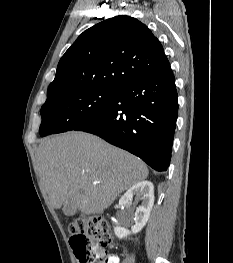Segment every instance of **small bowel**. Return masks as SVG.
Returning a JSON list of instances; mask_svg holds the SVG:
<instances>
[{"mask_svg": "<svg viewBox=\"0 0 233 263\" xmlns=\"http://www.w3.org/2000/svg\"><path fill=\"white\" fill-rule=\"evenodd\" d=\"M106 263H119V257L115 254L107 256Z\"/></svg>", "mask_w": 233, "mask_h": 263, "instance_id": "obj_1", "label": "small bowel"}]
</instances>
